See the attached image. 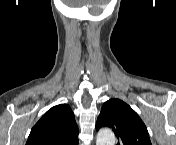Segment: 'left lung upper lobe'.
I'll return each mask as SVG.
<instances>
[{
  "label": "left lung upper lobe",
  "mask_w": 176,
  "mask_h": 145,
  "mask_svg": "<svg viewBox=\"0 0 176 145\" xmlns=\"http://www.w3.org/2000/svg\"><path fill=\"white\" fill-rule=\"evenodd\" d=\"M105 126L114 131L118 138L117 145H152L141 118L119 99H110L102 106L96 129Z\"/></svg>",
  "instance_id": "left-lung-upper-lobe-1"
}]
</instances>
